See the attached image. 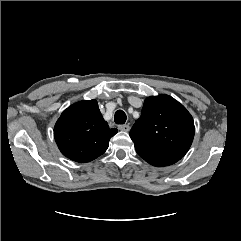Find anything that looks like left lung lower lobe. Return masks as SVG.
Wrapping results in <instances>:
<instances>
[{
  "label": "left lung lower lobe",
  "mask_w": 241,
  "mask_h": 241,
  "mask_svg": "<svg viewBox=\"0 0 241 241\" xmlns=\"http://www.w3.org/2000/svg\"><path fill=\"white\" fill-rule=\"evenodd\" d=\"M136 151L140 157H142L149 164L156 166V167L168 166V165L176 163L177 161H179L181 159V157H176V156L157 155V154L143 152L140 150H136Z\"/></svg>",
  "instance_id": "obj_1"
}]
</instances>
